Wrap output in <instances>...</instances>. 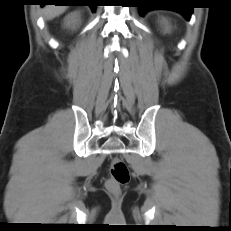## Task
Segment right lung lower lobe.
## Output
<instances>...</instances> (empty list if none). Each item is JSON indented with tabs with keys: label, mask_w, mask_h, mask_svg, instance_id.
Instances as JSON below:
<instances>
[{
	"label": "right lung lower lobe",
	"mask_w": 231,
	"mask_h": 231,
	"mask_svg": "<svg viewBox=\"0 0 231 231\" xmlns=\"http://www.w3.org/2000/svg\"><path fill=\"white\" fill-rule=\"evenodd\" d=\"M42 6L49 3H55L56 5H89L94 12L96 10V6L89 3V0H41Z\"/></svg>",
	"instance_id": "right-lung-lower-lobe-1"
}]
</instances>
